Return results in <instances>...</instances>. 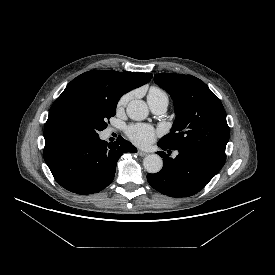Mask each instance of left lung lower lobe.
Instances as JSON below:
<instances>
[{
    "label": "left lung lower lobe",
    "instance_id": "1",
    "mask_svg": "<svg viewBox=\"0 0 275 275\" xmlns=\"http://www.w3.org/2000/svg\"><path fill=\"white\" fill-rule=\"evenodd\" d=\"M157 145L163 150H177L175 159L163 151L158 154L163 158V168L156 174H148L149 184L162 194L170 197H189L202 190L220 171L225 160L205 153L182 148H171L161 142Z\"/></svg>",
    "mask_w": 275,
    "mask_h": 275
}]
</instances>
